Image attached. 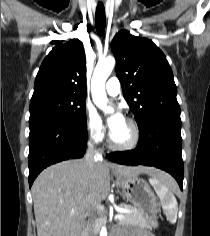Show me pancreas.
<instances>
[{"mask_svg":"<svg viewBox=\"0 0 210 236\" xmlns=\"http://www.w3.org/2000/svg\"><path fill=\"white\" fill-rule=\"evenodd\" d=\"M120 207L131 211L122 213L124 215V218L119 221V224H131L140 227H149V224L142 215V213L139 211H135L134 207L125 203L120 204Z\"/></svg>","mask_w":210,"mask_h":236,"instance_id":"cf45deb5","label":"pancreas"}]
</instances>
